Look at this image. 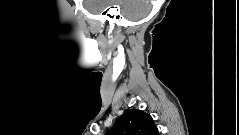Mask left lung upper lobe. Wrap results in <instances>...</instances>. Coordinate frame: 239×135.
Returning <instances> with one entry per match:
<instances>
[{"label": "left lung upper lobe", "mask_w": 239, "mask_h": 135, "mask_svg": "<svg viewBox=\"0 0 239 135\" xmlns=\"http://www.w3.org/2000/svg\"><path fill=\"white\" fill-rule=\"evenodd\" d=\"M158 129L152 117L137 109H131L121 115L107 135H158Z\"/></svg>", "instance_id": "5c2ea615"}]
</instances>
